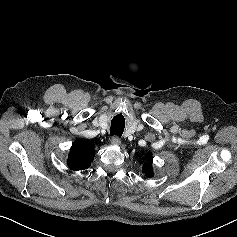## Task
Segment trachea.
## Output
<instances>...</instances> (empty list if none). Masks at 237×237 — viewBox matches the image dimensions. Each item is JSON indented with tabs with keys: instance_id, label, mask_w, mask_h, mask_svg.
<instances>
[{
	"instance_id": "3493384b",
	"label": "trachea",
	"mask_w": 237,
	"mask_h": 237,
	"mask_svg": "<svg viewBox=\"0 0 237 237\" xmlns=\"http://www.w3.org/2000/svg\"><path fill=\"white\" fill-rule=\"evenodd\" d=\"M124 131V124L117 122V121H112L111 127H110V135H116L118 137H121Z\"/></svg>"
}]
</instances>
